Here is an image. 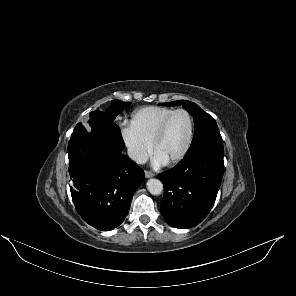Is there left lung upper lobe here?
Instances as JSON below:
<instances>
[{
    "instance_id": "1",
    "label": "left lung upper lobe",
    "mask_w": 296,
    "mask_h": 296,
    "mask_svg": "<svg viewBox=\"0 0 296 296\" xmlns=\"http://www.w3.org/2000/svg\"><path fill=\"white\" fill-rule=\"evenodd\" d=\"M161 105H182L193 116L195 134L186 156L194 154L207 147L223 145V140L215 119L207 114L197 104L187 100H178L169 103H162Z\"/></svg>"
}]
</instances>
